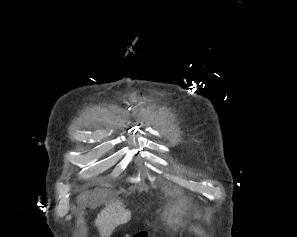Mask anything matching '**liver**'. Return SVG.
Returning a JSON list of instances; mask_svg holds the SVG:
<instances>
[{"instance_id":"6515ba94","label":"liver","mask_w":297,"mask_h":237,"mask_svg":"<svg viewBox=\"0 0 297 237\" xmlns=\"http://www.w3.org/2000/svg\"><path fill=\"white\" fill-rule=\"evenodd\" d=\"M131 218V212L125 209L119 199L111 200L97 215L95 225L101 237H110L115 228L127 223Z\"/></svg>"}]
</instances>
